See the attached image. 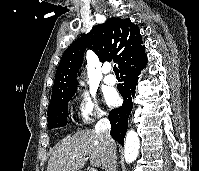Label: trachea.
Instances as JSON below:
<instances>
[{
    "label": "trachea",
    "instance_id": "3493384b",
    "mask_svg": "<svg viewBox=\"0 0 199 171\" xmlns=\"http://www.w3.org/2000/svg\"><path fill=\"white\" fill-rule=\"evenodd\" d=\"M113 71H114L116 74L119 73V70H118V68L116 67V65H114Z\"/></svg>",
    "mask_w": 199,
    "mask_h": 171
}]
</instances>
